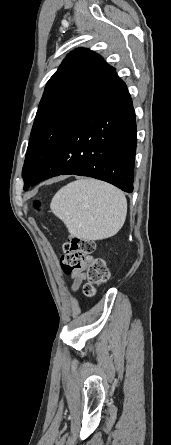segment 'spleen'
Returning a JSON list of instances; mask_svg holds the SVG:
<instances>
[{
  "label": "spleen",
  "mask_w": 171,
  "mask_h": 445,
  "mask_svg": "<svg viewBox=\"0 0 171 445\" xmlns=\"http://www.w3.org/2000/svg\"><path fill=\"white\" fill-rule=\"evenodd\" d=\"M50 208L71 235L102 240L122 228L127 200L121 190L110 184L82 178L62 187L52 198Z\"/></svg>",
  "instance_id": "spleen-1"
}]
</instances>
